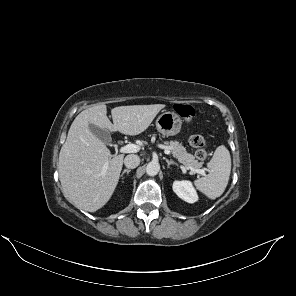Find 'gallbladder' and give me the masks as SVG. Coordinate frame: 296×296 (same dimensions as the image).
Here are the masks:
<instances>
[{"label": "gallbladder", "instance_id": "1", "mask_svg": "<svg viewBox=\"0 0 296 296\" xmlns=\"http://www.w3.org/2000/svg\"><path fill=\"white\" fill-rule=\"evenodd\" d=\"M90 130L91 132L98 137L103 143L110 144L111 143V135L110 133L102 128H99L93 124H90Z\"/></svg>", "mask_w": 296, "mask_h": 296}]
</instances>
